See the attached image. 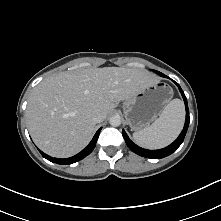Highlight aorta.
<instances>
[{
  "label": "aorta",
  "mask_w": 221,
  "mask_h": 221,
  "mask_svg": "<svg viewBox=\"0 0 221 221\" xmlns=\"http://www.w3.org/2000/svg\"><path fill=\"white\" fill-rule=\"evenodd\" d=\"M109 123L111 126L117 127L119 125H121V118L118 115L112 116L109 119Z\"/></svg>",
  "instance_id": "aorta-1"
}]
</instances>
